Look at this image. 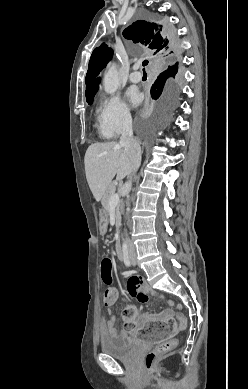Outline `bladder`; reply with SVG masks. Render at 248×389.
<instances>
[{
  "mask_svg": "<svg viewBox=\"0 0 248 389\" xmlns=\"http://www.w3.org/2000/svg\"><path fill=\"white\" fill-rule=\"evenodd\" d=\"M139 345L121 334L101 336L99 348L103 354L118 359H130L138 350Z\"/></svg>",
  "mask_w": 248,
  "mask_h": 389,
  "instance_id": "1",
  "label": "bladder"
}]
</instances>
